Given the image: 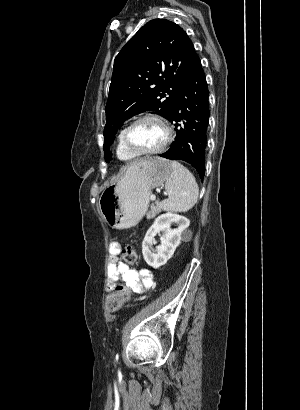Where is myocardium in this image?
<instances>
[{
    "mask_svg": "<svg viewBox=\"0 0 300 410\" xmlns=\"http://www.w3.org/2000/svg\"><path fill=\"white\" fill-rule=\"evenodd\" d=\"M143 120H155L158 123L161 124V126L164 128L165 130V138L164 141L162 142V144L157 147L156 149L153 150H139L136 149L135 147H133L129 140H128V133L130 131V129L136 125L138 122L143 121ZM172 136H173V132H172V128L170 127L169 123L167 122V120L162 117L159 114H155V113H145L142 114L138 117H136L132 122H130L124 129L122 132V142L123 145L134 155L136 156H151V155H156L159 154L161 152H163L167 146L169 145V143L172 140Z\"/></svg>",
    "mask_w": 300,
    "mask_h": 410,
    "instance_id": "myocardium-1",
    "label": "myocardium"
}]
</instances>
